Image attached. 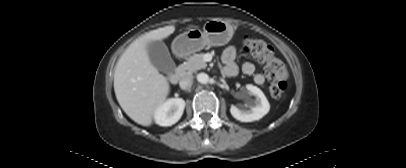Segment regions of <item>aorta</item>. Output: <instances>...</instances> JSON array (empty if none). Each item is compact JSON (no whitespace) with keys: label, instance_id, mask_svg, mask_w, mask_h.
<instances>
[{"label":"aorta","instance_id":"obj_1","mask_svg":"<svg viewBox=\"0 0 406 168\" xmlns=\"http://www.w3.org/2000/svg\"><path fill=\"white\" fill-rule=\"evenodd\" d=\"M197 80L202 84H206L209 81V76L205 73H200L197 75Z\"/></svg>","mask_w":406,"mask_h":168}]
</instances>
